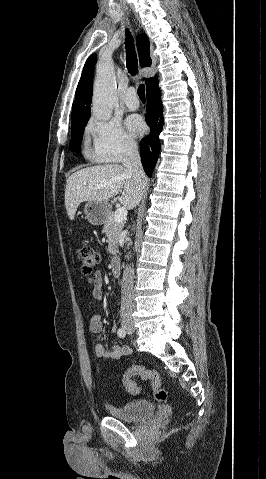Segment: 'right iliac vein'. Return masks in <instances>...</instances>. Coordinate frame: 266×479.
Masks as SVG:
<instances>
[{
	"label": "right iliac vein",
	"instance_id": "right-iliac-vein-1",
	"mask_svg": "<svg viewBox=\"0 0 266 479\" xmlns=\"http://www.w3.org/2000/svg\"><path fill=\"white\" fill-rule=\"evenodd\" d=\"M123 326H124V328L127 329V330H129V329H131V328L133 327L132 323H130V322L124 323Z\"/></svg>",
	"mask_w": 266,
	"mask_h": 479
}]
</instances>
